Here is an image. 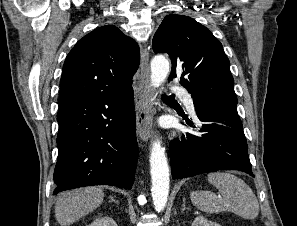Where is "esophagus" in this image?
<instances>
[{"mask_svg": "<svg viewBox=\"0 0 297 226\" xmlns=\"http://www.w3.org/2000/svg\"><path fill=\"white\" fill-rule=\"evenodd\" d=\"M149 52L145 46L141 54L140 78L135 96L136 103V130L142 141L151 137V107L153 94L150 83Z\"/></svg>", "mask_w": 297, "mask_h": 226, "instance_id": "obj_1", "label": "esophagus"}]
</instances>
